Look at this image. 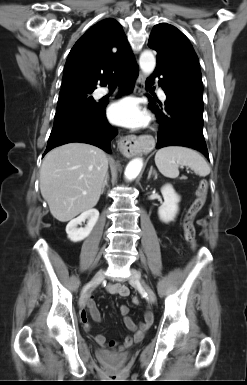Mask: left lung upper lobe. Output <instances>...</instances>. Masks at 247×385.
I'll use <instances>...</instances> for the list:
<instances>
[{
    "instance_id": "5c2ea615",
    "label": "left lung upper lobe",
    "mask_w": 247,
    "mask_h": 385,
    "mask_svg": "<svg viewBox=\"0 0 247 385\" xmlns=\"http://www.w3.org/2000/svg\"><path fill=\"white\" fill-rule=\"evenodd\" d=\"M148 46L157 51V64L166 67L190 91L203 95L197 55L181 31L170 24L160 23L153 28Z\"/></svg>"
}]
</instances>
